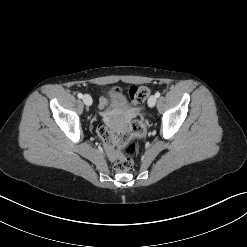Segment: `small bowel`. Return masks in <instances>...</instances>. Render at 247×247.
Wrapping results in <instances>:
<instances>
[{"label": "small bowel", "instance_id": "1", "mask_svg": "<svg viewBox=\"0 0 247 247\" xmlns=\"http://www.w3.org/2000/svg\"><path fill=\"white\" fill-rule=\"evenodd\" d=\"M100 103H101V105H104L106 103V98L105 97H102Z\"/></svg>", "mask_w": 247, "mask_h": 247}]
</instances>
